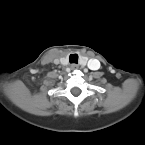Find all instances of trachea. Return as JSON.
Listing matches in <instances>:
<instances>
[{"label": "trachea", "instance_id": "1", "mask_svg": "<svg viewBox=\"0 0 145 145\" xmlns=\"http://www.w3.org/2000/svg\"><path fill=\"white\" fill-rule=\"evenodd\" d=\"M69 61H70V63L77 64L78 63V55L77 54H71L70 57H69Z\"/></svg>", "mask_w": 145, "mask_h": 145}]
</instances>
